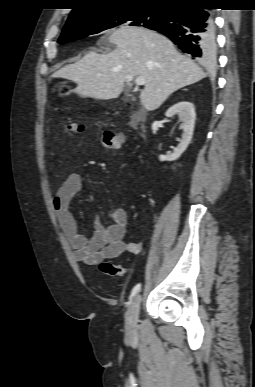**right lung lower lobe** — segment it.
<instances>
[{"instance_id":"1","label":"right lung lower lobe","mask_w":255,"mask_h":387,"mask_svg":"<svg viewBox=\"0 0 255 387\" xmlns=\"http://www.w3.org/2000/svg\"><path fill=\"white\" fill-rule=\"evenodd\" d=\"M201 2L169 8L165 21L151 28L169 37L183 52L203 63L216 60L215 25Z\"/></svg>"}]
</instances>
